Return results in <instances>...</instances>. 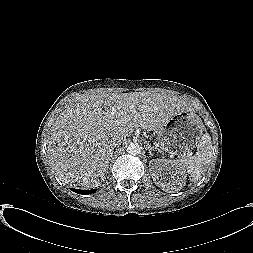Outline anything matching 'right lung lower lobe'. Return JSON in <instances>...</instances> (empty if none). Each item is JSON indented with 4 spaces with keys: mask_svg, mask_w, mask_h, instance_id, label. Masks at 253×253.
<instances>
[{
    "mask_svg": "<svg viewBox=\"0 0 253 253\" xmlns=\"http://www.w3.org/2000/svg\"><path fill=\"white\" fill-rule=\"evenodd\" d=\"M71 190L78 194H91V193H94L97 189H91V190L71 189Z\"/></svg>",
    "mask_w": 253,
    "mask_h": 253,
    "instance_id": "right-lung-lower-lobe-1",
    "label": "right lung lower lobe"
}]
</instances>
